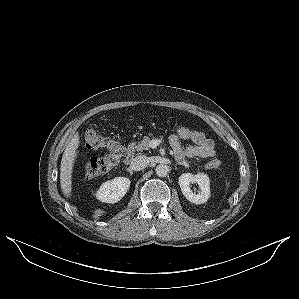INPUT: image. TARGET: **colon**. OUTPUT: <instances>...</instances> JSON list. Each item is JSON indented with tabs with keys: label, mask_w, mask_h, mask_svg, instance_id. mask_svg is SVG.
<instances>
[{
	"label": "colon",
	"mask_w": 299,
	"mask_h": 299,
	"mask_svg": "<svg viewBox=\"0 0 299 299\" xmlns=\"http://www.w3.org/2000/svg\"><path fill=\"white\" fill-rule=\"evenodd\" d=\"M200 134L201 132L196 129L176 126L173 135H176L181 140L194 141ZM84 141L91 150L107 151L104 157H92L86 162L85 175L88 178L106 175L118 165L124 155V147L120 142L103 136L95 127H90L86 130ZM212 165L218 166V162H212Z\"/></svg>",
	"instance_id": "5ec220e1"
}]
</instances>
